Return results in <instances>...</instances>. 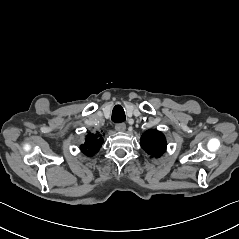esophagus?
I'll use <instances>...</instances> for the list:
<instances>
[{"label":"esophagus","mask_w":239,"mask_h":239,"mask_svg":"<svg viewBox=\"0 0 239 239\" xmlns=\"http://www.w3.org/2000/svg\"><path fill=\"white\" fill-rule=\"evenodd\" d=\"M115 129L119 132H123L126 129V125L124 123L116 124Z\"/></svg>","instance_id":"obj_1"}]
</instances>
